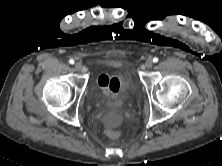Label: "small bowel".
I'll use <instances>...</instances> for the list:
<instances>
[{"instance_id": "1", "label": "small bowel", "mask_w": 222, "mask_h": 166, "mask_svg": "<svg viewBox=\"0 0 222 166\" xmlns=\"http://www.w3.org/2000/svg\"><path fill=\"white\" fill-rule=\"evenodd\" d=\"M97 84L102 93L110 99H117L127 86V82L123 78L105 74L97 78Z\"/></svg>"}]
</instances>
